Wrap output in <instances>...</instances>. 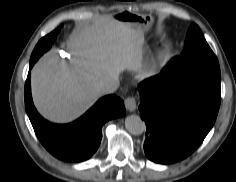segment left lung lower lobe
<instances>
[{"label":"left lung lower lobe","instance_id":"1","mask_svg":"<svg viewBox=\"0 0 236 182\" xmlns=\"http://www.w3.org/2000/svg\"><path fill=\"white\" fill-rule=\"evenodd\" d=\"M170 63L138 85L140 116L147 129L144 152L160 164L183 160L199 147L216 120L221 100L220 81L172 74Z\"/></svg>","mask_w":236,"mask_h":182}]
</instances>
